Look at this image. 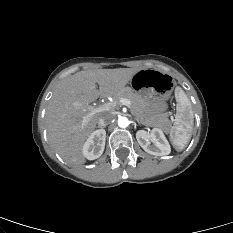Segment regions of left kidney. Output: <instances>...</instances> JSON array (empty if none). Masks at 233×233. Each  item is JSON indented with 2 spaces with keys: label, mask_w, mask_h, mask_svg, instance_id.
Wrapping results in <instances>:
<instances>
[{
  "label": "left kidney",
  "mask_w": 233,
  "mask_h": 233,
  "mask_svg": "<svg viewBox=\"0 0 233 233\" xmlns=\"http://www.w3.org/2000/svg\"><path fill=\"white\" fill-rule=\"evenodd\" d=\"M136 139L139 145L151 155L164 156L171 152L169 142L160 128H153L150 133L139 130L136 133Z\"/></svg>",
  "instance_id": "1"
}]
</instances>
